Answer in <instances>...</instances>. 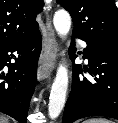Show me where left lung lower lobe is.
<instances>
[{"mask_svg": "<svg viewBox=\"0 0 118 123\" xmlns=\"http://www.w3.org/2000/svg\"><path fill=\"white\" fill-rule=\"evenodd\" d=\"M85 42L87 47L83 58L88 59L89 69L84 68V72L95 76V82L79 76L83 71L80 64L73 65L72 87L62 123H73L90 116L118 119V51L101 44ZM75 51L73 39L69 48L72 61L76 58Z\"/></svg>", "mask_w": 118, "mask_h": 123, "instance_id": "1", "label": "left lung lower lobe"}]
</instances>
